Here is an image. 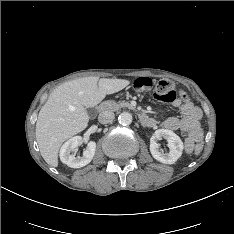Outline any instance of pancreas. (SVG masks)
<instances>
[{
	"mask_svg": "<svg viewBox=\"0 0 234 234\" xmlns=\"http://www.w3.org/2000/svg\"><path fill=\"white\" fill-rule=\"evenodd\" d=\"M102 106L110 111H118L119 109L123 107H127L129 109L132 108V106L128 102H125V101L114 102L111 100L105 101L104 103H102Z\"/></svg>",
	"mask_w": 234,
	"mask_h": 234,
	"instance_id": "pancreas-1",
	"label": "pancreas"
}]
</instances>
